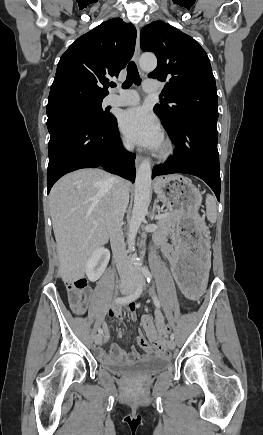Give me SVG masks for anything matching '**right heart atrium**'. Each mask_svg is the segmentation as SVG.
I'll use <instances>...</instances> for the list:
<instances>
[{"label": "right heart atrium", "instance_id": "d8ad5b80", "mask_svg": "<svg viewBox=\"0 0 263 435\" xmlns=\"http://www.w3.org/2000/svg\"><path fill=\"white\" fill-rule=\"evenodd\" d=\"M121 144H122V147L125 150H129L130 149V144L128 143V141L126 139L122 138L121 139Z\"/></svg>", "mask_w": 263, "mask_h": 435}]
</instances>
